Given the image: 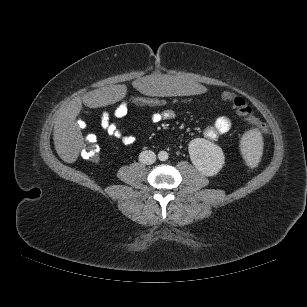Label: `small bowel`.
Masks as SVG:
<instances>
[{
	"mask_svg": "<svg viewBox=\"0 0 307 307\" xmlns=\"http://www.w3.org/2000/svg\"><path fill=\"white\" fill-rule=\"evenodd\" d=\"M127 112L111 116L109 111H104L101 115L100 124L105 133L115 139H119L125 145H132L136 138L129 133L128 129L122 127L118 121L127 116ZM175 117V112L172 109H164L155 111L151 114L150 119L153 123H161L163 121L172 120ZM231 120L226 116L218 117L213 125L206 128L204 136L209 140H217L219 136L227 133L231 128Z\"/></svg>",
	"mask_w": 307,
	"mask_h": 307,
	"instance_id": "small-bowel-1",
	"label": "small bowel"
}]
</instances>
